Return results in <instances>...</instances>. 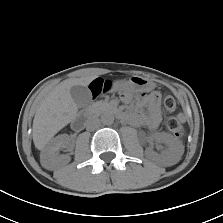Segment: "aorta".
<instances>
[{
    "instance_id": "obj_1",
    "label": "aorta",
    "mask_w": 223,
    "mask_h": 223,
    "mask_svg": "<svg viewBox=\"0 0 223 223\" xmlns=\"http://www.w3.org/2000/svg\"><path fill=\"white\" fill-rule=\"evenodd\" d=\"M101 122L104 125H111L114 122V115L111 113H105L101 116Z\"/></svg>"
}]
</instances>
